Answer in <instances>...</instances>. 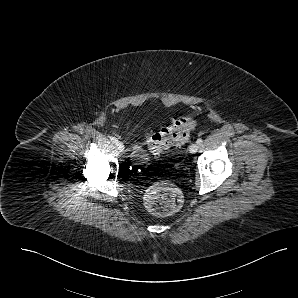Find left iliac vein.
Returning <instances> with one entry per match:
<instances>
[{"instance_id":"obj_1","label":"left iliac vein","mask_w":298,"mask_h":298,"mask_svg":"<svg viewBox=\"0 0 298 298\" xmlns=\"http://www.w3.org/2000/svg\"><path fill=\"white\" fill-rule=\"evenodd\" d=\"M198 148H199L198 144L197 143H193V144H191L189 146V152L191 154H194V153H196L198 151Z\"/></svg>"}]
</instances>
